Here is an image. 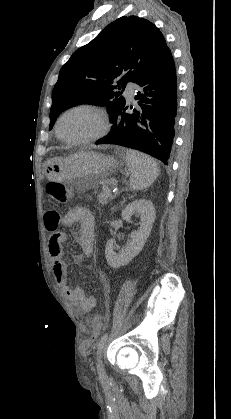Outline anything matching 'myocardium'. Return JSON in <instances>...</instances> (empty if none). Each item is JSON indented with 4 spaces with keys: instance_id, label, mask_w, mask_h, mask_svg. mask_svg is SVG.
Returning <instances> with one entry per match:
<instances>
[{
    "instance_id": "1",
    "label": "myocardium",
    "mask_w": 231,
    "mask_h": 419,
    "mask_svg": "<svg viewBox=\"0 0 231 419\" xmlns=\"http://www.w3.org/2000/svg\"><path fill=\"white\" fill-rule=\"evenodd\" d=\"M77 110H83V111H88L91 113H94L95 115H97L100 119L101 122V128L100 130L88 137L85 138H80V139H67L65 137H63L60 133V123L62 121V119L70 112L73 111H77ZM109 130V118L107 113L96 106H92V105H76L73 106L71 108H68L67 110H65L57 119L56 125H55V131L57 136L64 142L68 143V144H73V145H78V144H86V143H91V142H95L97 140H99L100 138H102L103 136L106 135V133Z\"/></svg>"
}]
</instances>
